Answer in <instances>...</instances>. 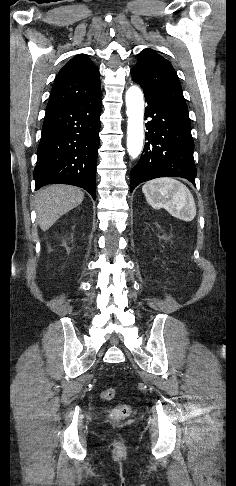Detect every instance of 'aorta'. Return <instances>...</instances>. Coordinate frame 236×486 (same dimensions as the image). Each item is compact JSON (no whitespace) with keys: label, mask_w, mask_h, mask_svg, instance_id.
<instances>
[{"label":"aorta","mask_w":236,"mask_h":486,"mask_svg":"<svg viewBox=\"0 0 236 486\" xmlns=\"http://www.w3.org/2000/svg\"><path fill=\"white\" fill-rule=\"evenodd\" d=\"M127 107V151L132 159L137 158L143 147L144 101L143 94L137 86H131L126 92Z\"/></svg>","instance_id":"762f6f07"}]
</instances>
